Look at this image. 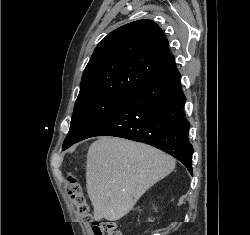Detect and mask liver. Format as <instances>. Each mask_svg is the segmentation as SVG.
<instances>
[{
	"instance_id": "6515ba94",
	"label": "liver",
	"mask_w": 250,
	"mask_h": 235,
	"mask_svg": "<svg viewBox=\"0 0 250 235\" xmlns=\"http://www.w3.org/2000/svg\"><path fill=\"white\" fill-rule=\"evenodd\" d=\"M174 168L175 160L152 146L115 137L96 140L86 162V186L95 220L121 219Z\"/></svg>"
}]
</instances>
